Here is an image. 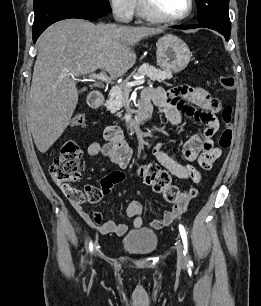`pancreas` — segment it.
Listing matches in <instances>:
<instances>
[{"instance_id":"1","label":"pancreas","mask_w":261,"mask_h":306,"mask_svg":"<svg viewBox=\"0 0 261 306\" xmlns=\"http://www.w3.org/2000/svg\"><path fill=\"white\" fill-rule=\"evenodd\" d=\"M144 74H146L147 77H149L152 81L158 82H164L166 79H171L173 77L171 71L160 70L148 64H143L138 69L137 73H135L134 75L141 76ZM130 78L131 76L128 77L126 81L113 87L110 90V96L109 99L106 101V107L108 110H110L111 113H116L123 107L124 101L128 97L130 92V87L126 86ZM117 115L121 117L120 113H118Z\"/></svg>"}]
</instances>
